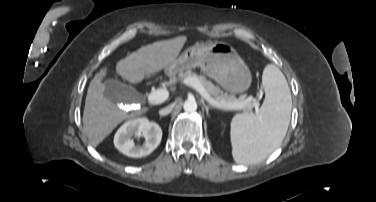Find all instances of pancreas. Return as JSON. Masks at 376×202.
Listing matches in <instances>:
<instances>
[{"label": "pancreas", "mask_w": 376, "mask_h": 202, "mask_svg": "<svg viewBox=\"0 0 376 202\" xmlns=\"http://www.w3.org/2000/svg\"><path fill=\"white\" fill-rule=\"evenodd\" d=\"M195 78L197 79L202 86L205 88V90L213 96L215 100L218 102H226V103H237L241 105L242 109L244 110H251L253 107H256L258 104V101L256 99L247 101V99L244 96H241L239 99H237L234 95H228L227 93H224L218 86H215L211 82L207 81L204 76H198L195 73H193L191 70L186 71L185 73H182L180 75V80H185L187 78ZM177 78H171L169 82L164 83V85H174L177 82Z\"/></svg>", "instance_id": "obj_1"}]
</instances>
